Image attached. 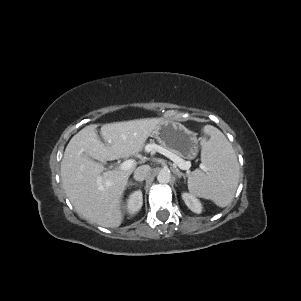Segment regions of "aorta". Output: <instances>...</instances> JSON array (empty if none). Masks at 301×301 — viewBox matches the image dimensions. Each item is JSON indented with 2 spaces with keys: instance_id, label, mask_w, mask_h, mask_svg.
I'll return each mask as SVG.
<instances>
[{
  "instance_id": "aorta-1",
  "label": "aorta",
  "mask_w": 301,
  "mask_h": 301,
  "mask_svg": "<svg viewBox=\"0 0 301 301\" xmlns=\"http://www.w3.org/2000/svg\"><path fill=\"white\" fill-rule=\"evenodd\" d=\"M171 180V172L168 168H163L157 175V181L159 183H169Z\"/></svg>"
}]
</instances>
